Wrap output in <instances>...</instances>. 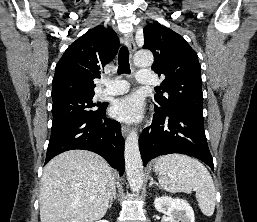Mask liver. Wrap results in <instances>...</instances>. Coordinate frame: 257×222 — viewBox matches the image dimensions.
<instances>
[{"label":"liver","mask_w":257,"mask_h":222,"mask_svg":"<svg viewBox=\"0 0 257 222\" xmlns=\"http://www.w3.org/2000/svg\"><path fill=\"white\" fill-rule=\"evenodd\" d=\"M115 187L110 165L86 150H70L45 166L41 222H94L104 217ZM93 197V198H92Z\"/></svg>","instance_id":"obj_1"}]
</instances>
